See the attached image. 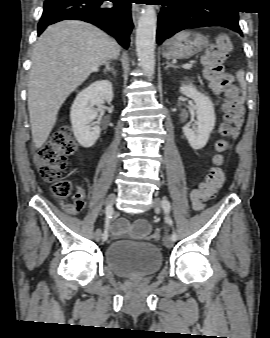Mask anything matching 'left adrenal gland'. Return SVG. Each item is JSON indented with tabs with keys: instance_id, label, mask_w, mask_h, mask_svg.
Returning <instances> with one entry per match:
<instances>
[{
	"instance_id": "1",
	"label": "left adrenal gland",
	"mask_w": 270,
	"mask_h": 338,
	"mask_svg": "<svg viewBox=\"0 0 270 338\" xmlns=\"http://www.w3.org/2000/svg\"><path fill=\"white\" fill-rule=\"evenodd\" d=\"M169 67H173L175 68V66L171 63H169L168 61L166 62V67H165V70H167Z\"/></svg>"
}]
</instances>
